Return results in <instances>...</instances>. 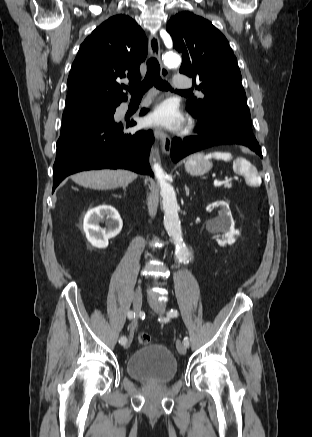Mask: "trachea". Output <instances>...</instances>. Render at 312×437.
Returning <instances> with one entry per match:
<instances>
[{
    "label": "trachea",
    "mask_w": 312,
    "mask_h": 437,
    "mask_svg": "<svg viewBox=\"0 0 312 437\" xmlns=\"http://www.w3.org/2000/svg\"><path fill=\"white\" fill-rule=\"evenodd\" d=\"M152 86H155L159 90L168 91L172 90L170 84L162 80L160 77V66L156 58L152 57L147 61V73L142 82L137 85L128 87V91L132 97L142 96ZM178 93L192 94L190 90L177 91Z\"/></svg>",
    "instance_id": "1"
}]
</instances>
